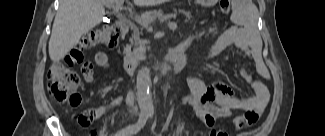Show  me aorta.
<instances>
[{
    "instance_id": "obj_1",
    "label": "aorta",
    "mask_w": 325,
    "mask_h": 136,
    "mask_svg": "<svg viewBox=\"0 0 325 136\" xmlns=\"http://www.w3.org/2000/svg\"><path fill=\"white\" fill-rule=\"evenodd\" d=\"M151 85L150 70L147 67H143L137 75L136 87L138 104L141 112L145 114H151L154 111L152 99L149 93Z\"/></svg>"
}]
</instances>
